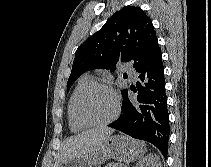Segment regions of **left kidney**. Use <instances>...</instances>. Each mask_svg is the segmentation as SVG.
I'll list each match as a JSON object with an SVG mask.
<instances>
[{
	"instance_id": "left-kidney-1",
	"label": "left kidney",
	"mask_w": 211,
	"mask_h": 167,
	"mask_svg": "<svg viewBox=\"0 0 211 167\" xmlns=\"http://www.w3.org/2000/svg\"><path fill=\"white\" fill-rule=\"evenodd\" d=\"M135 167H162L159 157L155 154L146 156Z\"/></svg>"
}]
</instances>
